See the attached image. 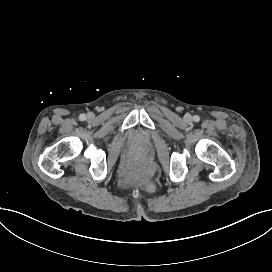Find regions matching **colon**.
<instances>
[{"label": "colon", "instance_id": "colon-1", "mask_svg": "<svg viewBox=\"0 0 272 272\" xmlns=\"http://www.w3.org/2000/svg\"><path fill=\"white\" fill-rule=\"evenodd\" d=\"M139 164L138 160H134V167L137 168V165Z\"/></svg>", "mask_w": 272, "mask_h": 272}]
</instances>
